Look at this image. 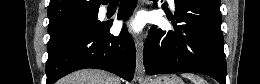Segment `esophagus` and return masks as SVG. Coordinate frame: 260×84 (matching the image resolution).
<instances>
[{
	"label": "esophagus",
	"mask_w": 260,
	"mask_h": 84,
	"mask_svg": "<svg viewBox=\"0 0 260 84\" xmlns=\"http://www.w3.org/2000/svg\"><path fill=\"white\" fill-rule=\"evenodd\" d=\"M148 4V0H141L140 6ZM136 69H135V77L138 82H142L145 78V68L143 65V49H144V42L143 36L136 37Z\"/></svg>",
	"instance_id": "1"
}]
</instances>
